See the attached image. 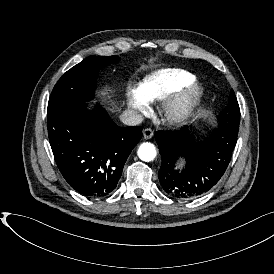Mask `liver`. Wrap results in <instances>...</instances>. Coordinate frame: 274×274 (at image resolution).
I'll return each instance as SVG.
<instances>
[{
    "mask_svg": "<svg viewBox=\"0 0 274 274\" xmlns=\"http://www.w3.org/2000/svg\"><path fill=\"white\" fill-rule=\"evenodd\" d=\"M109 92H110L109 89H105L100 92V95H101L102 101H105L106 99H108V103L110 105L109 110L111 112H115L119 108L117 107L116 103L113 100H111V96L109 95Z\"/></svg>",
    "mask_w": 274,
    "mask_h": 274,
    "instance_id": "obj_1",
    "label": "liver"
}]
</instances>
